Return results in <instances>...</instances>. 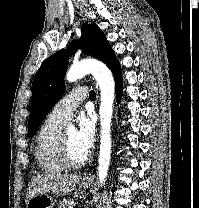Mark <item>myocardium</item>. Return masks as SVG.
Instances as JSON below:
<instances>
[{
  "label": "myocardium",
  "instance_id": "obj_1",
  "mask_svg": "<svg viewBox=\"0 0 199 208\" xmlns=\"http://www.w3.org/2000/svg\"><path fill=\"white\" fill-rule=\"evenodd\" d=\"M58 154L59 158L62 162V164L66 168H79L84 166L90 159V153H87V155L81 159V160H74L72 159L70 152H69V147H68V141L66 137V133H62L59 144H58Z\"/></svg>",
  "mask_w": 199,
  "mask_h": 208
}]
</instances>
